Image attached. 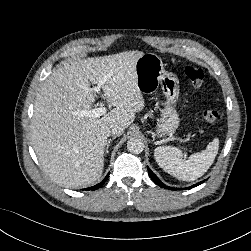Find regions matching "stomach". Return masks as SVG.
I'll return each mask as SVG.
<instances>
[{
  "label": "stomach",
  "instance_id": "stomach-1",
  "mask_svg": "<svg viewBox=\"0 0 251 251\" xmlns=\"http://www.w3.org/2000/svg\"><path fill=\"white\" fill-rule=\"evenodd\" d=\"M135 72L137 86L141 93L151 94L160 87L166 98L156 130L158 136L173 133L180 121L175 109L179 97L178 77L174 73L165 71L162 59L154 53L141 56L136 62Z\"/></svg>",
  "mask_w": 251,
  "mask_h": 251
}]
</instances>
